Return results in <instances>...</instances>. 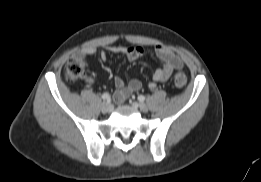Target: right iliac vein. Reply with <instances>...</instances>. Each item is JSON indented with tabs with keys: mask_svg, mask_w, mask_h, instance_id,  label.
<instances>
[{
	"mask_svg": "<svg viewBox=\"0 0 261 182\" xmlns=\"http://www.w3.org/2000/svg\"><path fill=\"white\" fill-rule=\"evenodd\" d=\"M111 109H112L111 104H109V103H107V102L102 103V105H101V110H102V112L108 113V112L111 111Z\"/></svg>",
	"mask_w": 261,
	"mask_h": 182,
	"instance_id": "obj_1",
	"label": "right iliac vein"
}]
</instances>
